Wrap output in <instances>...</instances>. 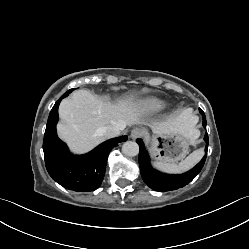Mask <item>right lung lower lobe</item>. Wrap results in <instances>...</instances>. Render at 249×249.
Masks as SVG:
<instances>
[{
  "label": "right lung lower lobe",
  "instance_id": "right-lung-lower-lobe-1",
  "mask_svg": "<svg viewBox=\"0 0 249 249\" xmlns=\"http://www.w3.org/2000/svg\"><path fill=\"white\" fill-rule=\"evenodd\" d=\"M60 99L53 106L47 121L43 141L46 169L49 175L66 189L73 191H94L104 178L107 157L110 151L127 137L108 140L85 155H73L66 144L56 134L58 106Z\"/></svg>",
  "mask_w": 249,
  "mask_h": 249
}]
</instances>
